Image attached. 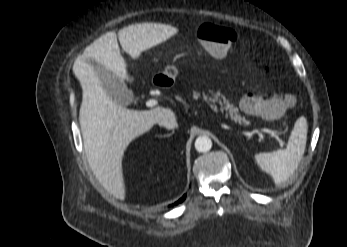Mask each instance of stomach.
I'll list each match as a JSON object with an SVG mask.
<instances>
[{
  "instance_id": "0dacf381",
  "label": "stomach",
  "mask_w": 347,
  "mask_h": 247,
  "mask_svg": "<svg viewBox=\"0 0 347 247\" xmlns=\"http://www.w3.org/2000/svg\"><path fill=\"white\" fill-rule=\"evenodd\" d=\"M177 70L173 66H167L165 71L162 73L164 77H167L170 80H174L176 76Z\"/></svg>"
}]
</instances>
